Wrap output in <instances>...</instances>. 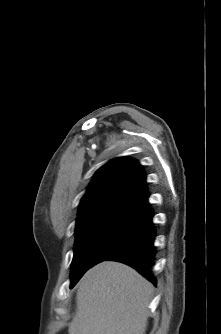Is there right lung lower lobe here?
I'll list each match as a JSON object with an SVG mask.
<instances>
[{
  "label": "right lung lower lobe",
  "instance_id": "1",
  "mask_svg": "<svg viewBox=\"0 0 221 334\" xmlns=\"http://www.w3.org/2000/svg\"><path fill=\"white\" fill-rule=\"evenodd\" d=\"M152 213L146 218L140 229L106 260L123 262L136 269L146 279L156 285L151 274L155 260V228L152 223Z\"/></svg>",
  "mask_w": 221,
  "mask_h": 334
}]
</instances>
